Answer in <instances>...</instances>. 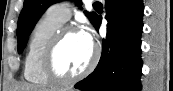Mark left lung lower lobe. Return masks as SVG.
<instances>
[{"instance_id": "1", "label": "left lung lower lobe", "mask_w": 173, "mask_h": 91, "mask_svg": "<svg viewBox=\"0 0 173 91\" xmlns=\"http://www.w3.org/2000/svg\"><path fill=\"white\" fill-rule=\"evenodd\" d=\"M108 23L95 70L75 84L83 91H141L142 0H105ZM101 17L94 23L99 30Z\"/></svg>"}]
</instances>
